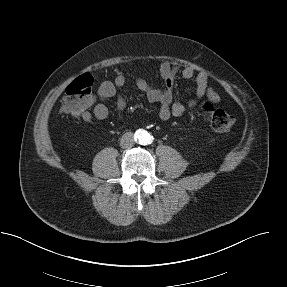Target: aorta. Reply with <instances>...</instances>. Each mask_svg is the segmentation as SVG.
<instances>
[{
	"label": "aorta",
	"instance_id": "aorta-1",
	"mask_svg": "<svg viewBox=\"0 0 287 287\" xmlns=\"http://www.w3.org/2000/svg\"><path fill=\"white\" fill-rule=\"evenodd\" d=\"M150 139H151V136H150L149 134H145V135L143 136V141H144V143H148V142L150 141Z\"/></svg>",
	"mask_w": 287,
	"mask_h": 287
}]
</instances>
